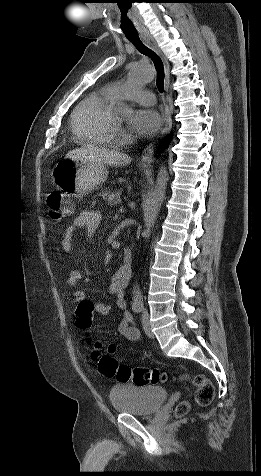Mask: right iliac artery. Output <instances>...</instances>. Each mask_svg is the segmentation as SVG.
Instances as JSON below:
<instances>
[{"label":"right iliac artery","mask_w":261,"mask_h":476,"mask_svg":"<svg viewBox=\"0 0 261 476\" xmlns=\"http://www.w3.org/2000/svg\"><path fill=\"white\" fill-rule=\"evenodd\" d=\"M132 309H133L134 312L139 313V312L142 311L143 306L140 305V304H136V305H133Z\"/></svg>","instance_id":"right-iliac-artery-1"}]
</instances>
